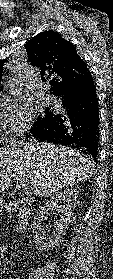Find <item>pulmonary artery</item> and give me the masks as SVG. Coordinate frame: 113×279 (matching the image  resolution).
Here are the masks:
<instances>
[{
    "label": "pulmonary artery",
    "instance_id": "obj_1",
    "mask_svg": "<svg viewBox=\"0 0 113 279\" xmlns=\"http://www.w3.org/2000/svg\"><path fill=\"white\" fill-rule=\"evenodd\" d=\"M44 100L46 103H52L53 102V96L50 94H44Z\"/></svg>",
    "mask_w": 113,
    "mask_h": 279
}]
</instances>
